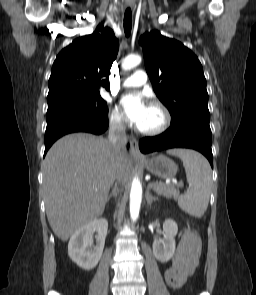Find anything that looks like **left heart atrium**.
Instances as JSON below:
<instances>
[{"label": "left heart atrium", "instance_id": "1", "mask_svg": "<svg viewBox=\"0 0 256 295\" xmlns=\"http://www.w3.org/2000/svg\"><path fill=\"white\" fill-rule=\"evenodd\" d=\"M120 106L127 119L136 127H139L145 119L149 105L140 94H126L120 99Z\"/></svg>", "mask_w": 256, "mask_h": 295}]
</instances>
